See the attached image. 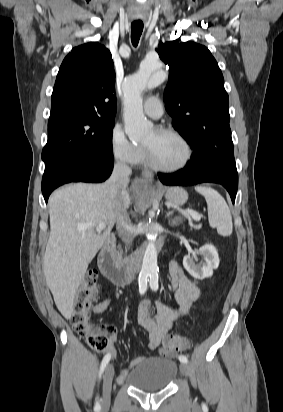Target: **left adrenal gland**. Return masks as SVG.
<instances>
[{
  "instance_id": "obj_1",
  "label": "left adrenal gland",
  "mask_w": 283,
  "mask_h": 412,
  "mask_svg": "<svg viewBox=\"0 0 283 412\" xmlns=\"http://www.w3.org/2000/svg\"><path fill=\"white\" fill-rule=\"evenodd\" d=\"M168 223H169L170 226H176L178 224L177 217L174 218V219H170Z\"/></svg>"
}]
</instances>
